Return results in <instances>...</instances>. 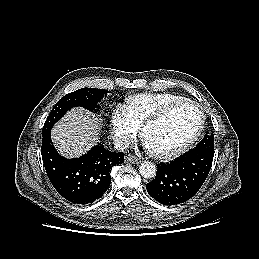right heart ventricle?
I'll return each instance as SVG.
<instances>
[{
  "instance_id": "e07e8e85",
  "label": "right heart ventricle",
  "mask_w": 259,
  "mask_h": 259,
  "mask_svg": "<svg viewBox=\"0 0 259 259\" xmlns=\"http://www.w3.org/2000/svg\"><path fill=\"white\" fill-rule=\"evenodd\" d=\"M186 98L172 93H147L129 96L125 99V109L132 123L140 128L143 123L162 107Z\"/></svg>"
}]
</instances>
